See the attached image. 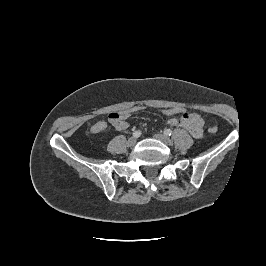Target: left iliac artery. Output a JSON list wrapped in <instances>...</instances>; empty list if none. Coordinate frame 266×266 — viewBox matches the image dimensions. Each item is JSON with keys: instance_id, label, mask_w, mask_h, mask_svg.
Segmentation results:
<instances>
[{"instance_id": "1", "label": "left iliac artery", "mask_w": 266, "mask_h": 266, "mask_svg": "<svg viewBox=\"0 0 266 266\" xmlns=\"http://www.w3.org/2000/svg\"><path fill=\"white\" fill-rule=\"evenodd\" d=\"M172 130H170V129H165V131H164V134L165 135H168V136H171L172 135Z\"/></svg>"}]
</instances>
